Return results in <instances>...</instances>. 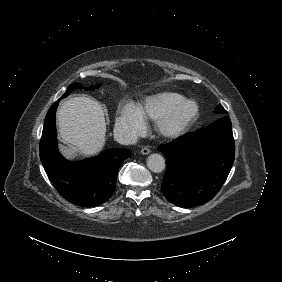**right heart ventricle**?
I'll use <instances>...</instances> for the list:
<instances>
[{
    "label": "right heart ventricle",
    "instance_id": "e07e8e85",
    "mask_svg": "<svg viewBox=\"0 0 282 282\" xmlns=\"http://www.w3.org/2000/svg\"><path fill=\"white\" fill-rule=\"evenodd\" d=\"M182 101V97L175 94H162L150 99L142 113L155 119L162 118L173 106Z\"/></svg>",
    "mask_w": 282,
    "mask_h": 282
}]
</instances>
